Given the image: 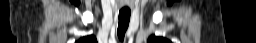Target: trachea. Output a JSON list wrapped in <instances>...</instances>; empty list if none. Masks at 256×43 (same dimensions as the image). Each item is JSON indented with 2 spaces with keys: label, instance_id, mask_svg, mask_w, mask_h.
Returning a JSON list of instances; mask_svg holds the SVG:
<instances>
[{
  "label": "trachea",
  "instance_id": "1",
  "mask_svg": "<svg viewBox=\"0 0 256 43\" xmlns=\"http://www.w3.org/2000/svg\"><path fill=\"white\" fill-rule=\"evenodd\" d=\"M130 15H131V11L129 9L128 10L122 9L119 11L117 33L120 41L124 40V36L130 22Z\"/></svg>",
  "mask_w": 256,
  "mask_h": 43
}]
</instances>
